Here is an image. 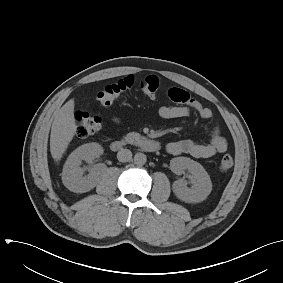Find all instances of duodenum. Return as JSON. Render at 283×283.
Listing matches in <instances>:
<instances>
[{
  "label": "duodenum",
  "mask_w": 283,
  "mask_h": 283,
  "mask_svg": "<svg viewBox=\"0 0 283 283\" xmlns=\"http://www.w3.org/2000/svg\"><path fill=\"white\" fill-rule=\"evenodd\" d=\"M136 144L143 150L147 152H157L160 150V144L150 138L141 137L137 140ZM125 143L121 140H114L110 144V148L112 151L117 152L124 148Z\"/></svg>",
  "instance_id": "obj_1"
}]
</instances>
